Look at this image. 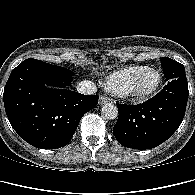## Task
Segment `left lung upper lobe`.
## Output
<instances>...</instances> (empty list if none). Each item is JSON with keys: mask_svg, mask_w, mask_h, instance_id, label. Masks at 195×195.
I'll list each match as a JSON object with an SVG mask.
<instances>
[{"mask_svg": "<svg viewBox=\"0 0 195 195\" xmlns=\"http://www.w3.org/2000/svg\"><path fill=\"white\" fill-rule=\"evenodd\" d=\"M161 64L166 80H172L176 78H186L184 66L168 57L161 58Z\"/></svg>", "mask_w": 195, "mask_h": 195, "instance_id": "left-lung-upper-lobe-1", "label": "left lung upper lobe"}]
</instances>
